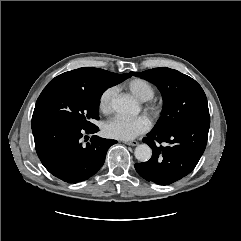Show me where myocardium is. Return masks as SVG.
<instances>
[{
  "label": "myocardium",
  "mask_w": 241,
  "mask_h": 241,
  "mask_svg": "<svg viewBox=\"0 0 241 241\" xmlns=\"http://www.w3.org/2000/svg\"><path fill=\"white\" fill-rule=\"evenodd\" d=\"M147 109L150 112V114L153 115V116L159 115V113L161 111L160 106L158 104H156V103L149 104Z\"/></svg>",
  "instance_id": "f54148a6"
}]
</instances>
